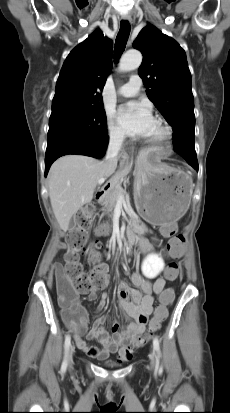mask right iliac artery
<instances>
[{
    "label": "right iliac artery",
    "mask_w": 230,
    "mask_h": 413,
    "mask_svg": "<svg viewBox=\"0 0 230 413\" xmlns=\"http://www.w3.org/2000/svg\"><path fill=\"white\" fill-rule=\"evenodd\" d=\"M70 344H71V337L68 334L65 338V344H64V346H65V356H64V360H63L62 365H61V372L62 373H64L67 369V365H68V363H67V352H68V349L70 347Z\"/></svg>",
    "instance_id": "1"
}]
</instances>
